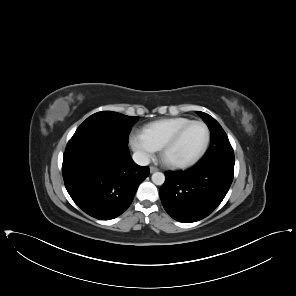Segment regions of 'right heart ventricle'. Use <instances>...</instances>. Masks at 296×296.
Listing matches in <instances>:
<instances>
[{
  "label": "right heart ventricle",
  "mask_w": 296,
  "mask_h": 296,
  "mask_svg": "<svg viewBox=\"0 0 296 296\" xmlns=\"http://www.w3.org/2000/svg\"><path fill=\"white\" fill-rule=\"evenodd\" d=\"M190 121L184 117L161 119L147 125L143 134L159 149L174 132Z\"/></svg>",
  "instance_id": "obj_1"
}]
</instances>
